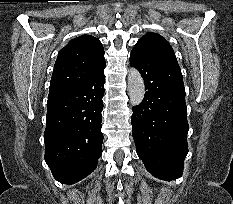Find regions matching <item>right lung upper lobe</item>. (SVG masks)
<instances>
[{"mask_svg":"<svg viewBox=\"0 0 233 204\" xmlns=\"http://www.w3.org/2000/svg\"><path fill=\"white\" fill-rule=\"evenodd\" d=\"M105 68L101 42L90 35L71 40L58 54L51 78L49 95L81 86Z\"/></svg>","mask_w":233,"mask_h":204,"instance_id":"obj_1","label":"right lung upper lobe"}]
</instances>
